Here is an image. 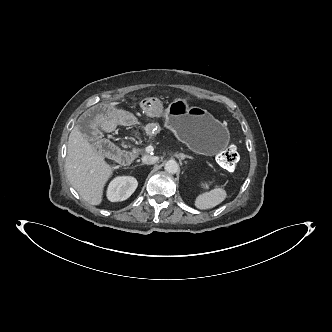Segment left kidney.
<instances>
[{"mask_svg":"<svg viewBox=\"0 0 332 332\" xmlns=\"http://www.w3.org/2000/svg\"><path fill=\"white\" fill-rule=\"evenodd\" d=\"M202 185H203V186H206V187L208 186V184H206V183H205V184L203 183Z\"/></svg>","mask_w":332,"mask_h":332,"instance_id":"left-kidney-1","label":"left kidney"}]
</instances>
